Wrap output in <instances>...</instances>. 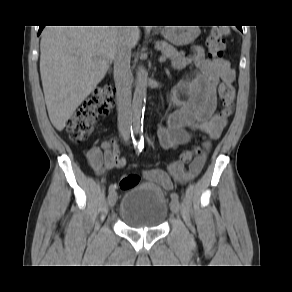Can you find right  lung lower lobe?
Here are the masks:
<instances>
[{
	"label": "right lung lower lobe",
	"instance_id": "1",
	"mask_svg": "<svg viewBox=\"0 0 292 292\" xmlns=\"http://www.w3.org/2000/svg\"><path fill=\"white\" fill-rule=\"evenodd\" d=\"M45 26H40L39 27V31H38V35L41 33L42 29L44 28Z\"/></svg>",
	"mask_w": 292,
	"mask_h": 292
}]
</instances>
